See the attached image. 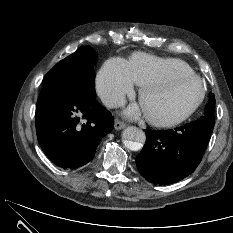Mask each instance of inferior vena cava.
Returning <instances> with one entry per match:
<instances>
[{
    "label": "inferior vena cava",
    "mask_w": 233,
    "mask_h": 233,
    "mask_svg": "<svg viewBox=\"0 0 233 233\" xmlns=\"http://www.w3.org/2000/svg\"><path fill=\"white\" fill-rule=\"evenodd\" d=\"M102 102L108 108H118L125 105V97L122 94H109L102 97Z\"/></svg>",
    "instance_id": "1"
}]
</instances>
